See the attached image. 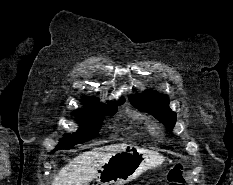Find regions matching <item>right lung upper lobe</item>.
<instances>
[{
  "label": "right lung upper lobe",
  "mask_w": 233,
  "mask_h": 185,
  "mask_svg": "<svg viewBox=\"0 0 233 185\" xmlns=\"http://www.w3.org/2000/svg\"><path fill=\"white\" fill-rule=\"evenodd\" d=\"M120 102H124V99L120 100ZM87 104H88L90 107H95V106H97V105H100L101 103L98 102V101H89Z\"/></svg>",
  "instance_id": "1"
}]
</instances>
